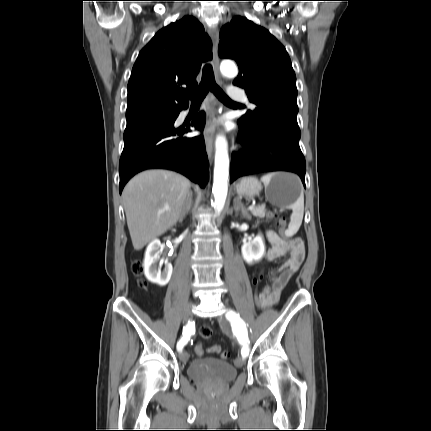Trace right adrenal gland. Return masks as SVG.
I'll return each mask as SVG.
<instances>
[{"instance_id": "1", "label": "right adrenal gland", "mask_w": 431, "mask_h": 431, "mask_svg": "<svg viewBox=\"0 0 431 431\" xmlns=\"http://www.w3.org/2000/svg\"><path fill=\"white\" fill-rule=\"evenodd\" d=\"M191 204H192V192H189L187 195L186 202L183 205L182 214L180 216L179 222L183 221L184 217L186 216V214L188 213V211L191 208Z\"/></svg>"}]
</instances>
